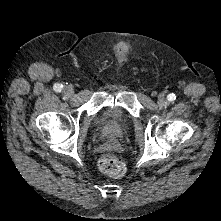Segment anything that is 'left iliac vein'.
Segmentation results:
<instances>
[{
    "label": "left iliac vein",
    "instance_id": "left-iliac-vein-1",
    "mask_svg": "<svg viewBox=\"0 0 221 221\" xmlns=\"http://www.w3.org/2000/svg\"><path fill=\"white\" fill-rule=\"evenodd\" d=\"M158 104H159V106L163 107V106H166L167 102H166L165 98H160L158 100Z\"/></svg>",
    "mask_w": 221,
    "mask_h": 221
}]
</instances>
